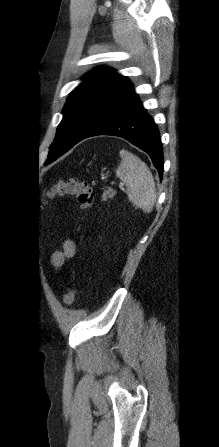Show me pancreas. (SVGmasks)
Segmentation results:
<instances>
[{
    "mask_svg": "<svg viewBox=\"0 0 219 447\" xmlns=\"http://www.w3.org/2000/svg\"><path fill=\"white\" fill-rule=\"evenodd\" d=\"M116 194V191H114L111 188H107L106 190H104L103 195H102V201H106L109 198H113Z\"/></svg>",
    "mask_w": 219,
    "mask_h": 447,
    "instance_id": "pancreas-1",
    "label": "pancreas"
}]
</instances>
